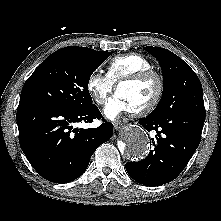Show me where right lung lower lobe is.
Listing matches in <instances>:
<instances>
[{
  "instance_id": "obj_1",
  "label": "right lung lower lobe",
  "mask_w": 221,
  "mask_h": 221,
  "mask_svg": "<svg viewBox=\"0 0 221 221\" xmlns=\"http://www.w3.org/2000/svg\"><path fill=\"white\" fill-rule=\"evenodd\" d=\"M102 117L95 104L69 109L53 104L20 101L16 119L19 143L33 168L46 180L68 183L86 170L95 150L113 135V125L77 129Z\"/></svg>"
}]
</instances>
